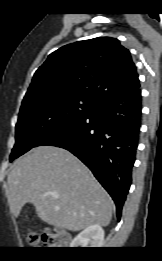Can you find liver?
Wrapping results in <instances>:
<instances>
[{"label":"liver","mask_w":162,"mask_h":261,"mask_svg":"<svg viewBox=\"0 0 162 261\" xmlns=\"http://www.w3.org/2000/svg\"><path fill=\"white\" fill-rule=\"evenodd\" d=\"M8 203L15 217L32 203L41 220L70 231L94 224L106 227L113 210L112 199L91 171L55 146L33 148L14 162L8 174Z\"/></svg>","instance_id":"1"}]
</instances>
